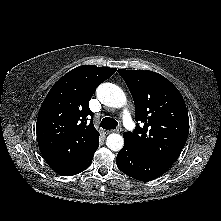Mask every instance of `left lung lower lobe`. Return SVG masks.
<instances>
[{"mask_svg": "<svg viewBox=\"0 0 221 221\" xmlns=\"http://www.w3.org/2000/svg\"><path fill=\"white\" fill-rule=\"evenodd\" d=\"M116 161L123 173L140 181L154 180L169 170V167L140 154L127 144L118 152Z\"/></svg>", "mask_w": 221, "mask_h": 221, "instance_id": "0a47b994", "label": "left lung lower lobe"}]
</instances>
